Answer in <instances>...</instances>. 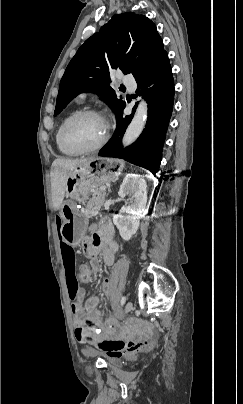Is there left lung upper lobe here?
<instances>
[{
    "label": "left lung upper lobe",
    "instance_id": "1",
    "mask_svg": "<svg viewBox=\"0 0 243 404\" xmlns=\"http://www.w3.org/2000/svg\"><path fill=\"white\" fill-rule=\"evenodd\" d=\"M155 24L143 15L127 12L112 16L88 38L70 61L61 79L54 116L82 92H94L112 108L117 120L126 103L110 86V71L119 68L135 79L165 53Z\"/></svg>",
    "mask_w": 243,
    "mask_h": 404
}]
</instances>
